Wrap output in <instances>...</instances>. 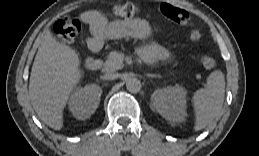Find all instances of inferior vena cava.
I'll use <instances>...</instances> for the list:
<instances>
[{"mask_svg":"<svg viewBox=\"0 0 259 156\" xmlns=\"http://www.w3.org/2000/svg\"><path fill=\"white\" fill-rule=\"evenodd\" d=\"M102 78L104 80H115V79L119 78V74L110 72V73L105 74Z\"/></svg>","mask_w":259,"mask_h":156,"instance_id":"inferior-vena-cava-1","label":"inferior vena cava"}]
</instances>
